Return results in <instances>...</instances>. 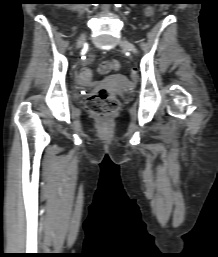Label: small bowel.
<instances>
[{"instance_id":"1","label":"small bowel","mask_w":218,"mask_h":257,"mask_svg":"<svg viewBox=\"0 0 218 257\" xmlns=\"http://www.w3.org/2000/svg\"><path fill=\"white\" fill-rule=\"evenodd\" d=\"M148 14H150L151 13V11L150 10H148V12H147ZM78 77V73H74V78H77ZM76 84H78V80L76 79Z\"/></svg>"}]
</instances>
